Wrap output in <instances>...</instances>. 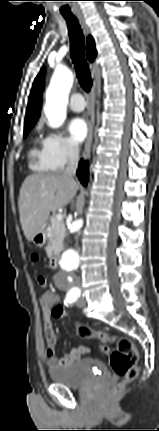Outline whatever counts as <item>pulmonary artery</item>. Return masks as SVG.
<instances>
[{
  "instance_id": "1",
  "label": "pulmonary artery",
  "mask_w": 159,
  "mask_h": 431,
  "mask_svg": "<svg viewBox=\"0 0 159 431\" xmlns=\"http://www.w3.org/2000/svg\"><path fill=\"white\" fill-rule=\"evenodd\" d=\"M69 107L75 112H81L85 108V101L80 93H73L70 97Z\"/></svg>"
}]
</instances>
